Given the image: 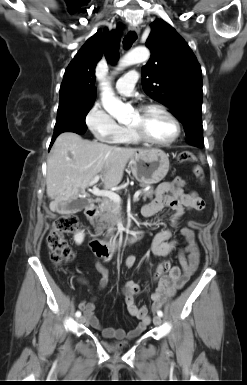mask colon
Returning a JSON list of instances; mask_svg holds the SVG:
<instances>
[{
	"label": "colon",
	"instance_id": "obj_1",
	"mask_svg": "<svg viewBox=\"0 0 247 385\" xmlns=\"http://www.w3.org/2000/svg\"><path fill=\"white\" fill-rule=\"evenodd\" d=\"M195 160V154L190 151H182L178 155L180 163H192ZM193 172L200 181L204 180V172L200 166H195ZM78 225L79 219L76 215L60 216L54 221L47 236V244L51 250V259L55 264L61 265L73 260L74 253L68 245L65 235L73 233ZM158 270L162 273L167 272L168 264L162 263Z\"/></svg>",
	"mask_w": 247,
	"mask_h": 385
}]
</instances>
